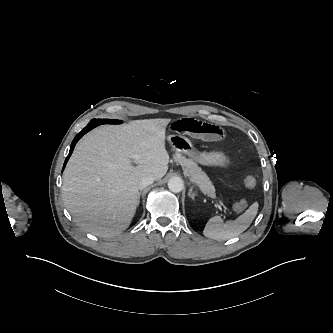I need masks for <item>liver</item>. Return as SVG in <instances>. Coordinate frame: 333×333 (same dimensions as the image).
<instances>
[{
    "label": "liver",
    "instance_id": "6515ba94",
    "mask_svg": "<svg viewBox=\"0 0 333 333\" xmlns=\"http://www.w3.org/2000/svg\"><path fill=\"white\" fill-rule=\"evenodd\" d=\"M170 121L105 125L78 143L64 171L62 192L66 208L82 229L109 238L129 227L140 180H160L168 170L165 131Z\"/></svg>",
    "mask_w": 333,
    "mask_h": 333
}]
</instances>
